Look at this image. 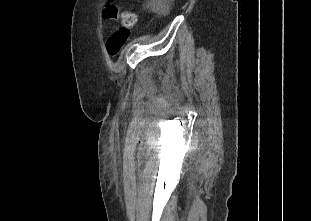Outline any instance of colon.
I'll return each instance as SVG.
<instances>
[{"mask_svg":"<svg viewBox=\"0 0 311 221\" xmlns=\"http://www.w3.org/2000/svg\"><path fill=\"white\" fill-rule=\"evenodd\" d=\"M120 7L118 6L117 0H106L102 16L106 17L107 20H118L119 19ZM122 24H135L136 14L133 12H122L120 14ZM135 20V21H134ZM131 30V29H129ZM129 33H116L113 32L106 40V52L109 56L114 57L122 50L125 46Z\"/></svg>","mask_w":311,"mask_h":221,"instance_id":"colon-1","label":"colon"}]
</instances>
